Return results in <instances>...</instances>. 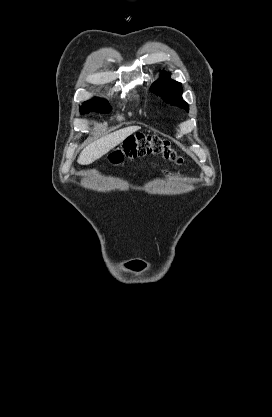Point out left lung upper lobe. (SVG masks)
<instances>
[{
	"instance_id": "1",
	"label": "left lung upper lobe",
	"mask_w": 272,
	"mask_h": 417,
	"mask_svg": "<svg viewBox=\"0 0 272 417\" xmlns=\"http://www.w3.org/2000/svg\"><path fill=\"white\" fill-rule=\"evenodd\" d=\"M150 89L155 94L161 95L165 102L189 110L188 104L181 97L183 92L181 83L172 80L169 73H162V78L154 82Z\"/></svg>"
}]
</instances>
